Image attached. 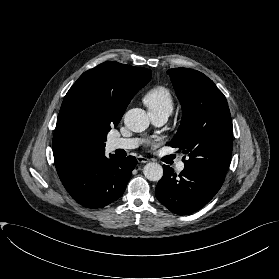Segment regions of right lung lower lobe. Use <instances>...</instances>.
Listing matches in <instances>:
<instances>
[{
    "mask_svg": "<svg viewBox=\"0 0 279 279\" xmlns=\"http://www.w3.org/2000/svg\"><path fill=\"white\" fill-rule=\"evenodd\" d=\"M136 164L133 156L107 158L100 154L74 162L58 175L75 201L101 208L122 196Z\"/></svg>",
    "mask_w": 279,
    "mask_h": 279,
    "instance_id": "obj_1",
    "label": "right lung lower lobe"
}]
</instances>
